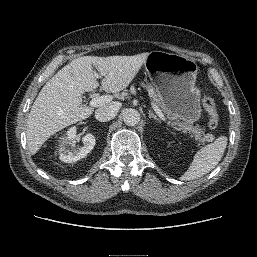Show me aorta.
I'll list each match as a JSON object with an SVG mask.
<instances>
[{
	"label": "aorta",
	"mask_w": 257,
	"mask_h": 257,
	"mask_svg": "<svg viewBox=\"0 0 257 257\" xmlns=\"http://www.w3.org/2000/svg\"><path fill=\"white\" fill-rule=\"evenodd\" d=\"M140 113L138 110L128 108L123 112V121L128 126H135L140 122Z\"/></svg>",
	"instance_id": "1"
}]
</instances>
